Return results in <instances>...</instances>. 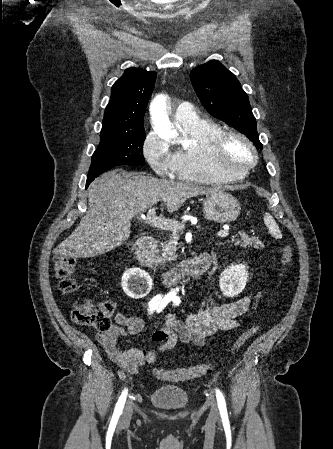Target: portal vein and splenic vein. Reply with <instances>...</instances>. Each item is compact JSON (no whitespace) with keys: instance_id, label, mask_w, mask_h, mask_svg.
I'll use <instances>...</instances> for the list:
<instances>
[{"instance_id":"1","label":"portal vein and splenic vein","mask_w":333,"mask_h":449,"mask_svg":"<svg viewBox=\"0 0 333 449\" xmlns=\"http://www.w3.org/2000/svg\"><path fill=\"white\" fill-rule=\"evenodd\" d=\"M145 223L149 224L152 227L160 228L162 230H172L177 231L181 230L183 228V225L179 224L178 222L167 220L161 217L156 216L155 208H151L146 218H144ZM218 236L226 237L229 235L228 230H222L217 233Z\"/></svg>"}]
</instances>
